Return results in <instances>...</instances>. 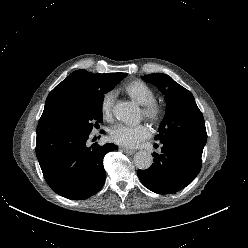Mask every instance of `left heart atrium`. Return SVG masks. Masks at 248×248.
Segmentation results:
<instances>
[{
    "mask_svg": "<svg viewBox=\"0 0 248 248\" xmlns=\"http://www.w3.org/2000/svg\"><path fill=\"white\" fill-rule=\"evenodd\" d=\"M112 140L125 147H136L150 135L148 126L144 123L135 125L118 124L111 130Z\"/></svg>",
    "mask_w": 248,
    "mask_h": 248,
    "instance_id": "left-heart-atrium-1",
    "label": "left heart atrium"
}]
</instances>
